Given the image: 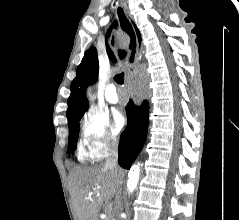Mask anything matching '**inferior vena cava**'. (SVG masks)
Returning <instances> with one entry per match:
<instances>
[{
    "instance_id": "obj_1",
    "label": "inferior vena cava",
    "mask_w": 239,
    "mask_h": 220,
    "mask_svg": "<svg viewBox=\"0 0 239 220\" xmlns=\"http://www.w3.org/2000/svg\"><path fill=\"white\" fill-rule=\"evenodd\" d=\"M105 165L111 168H118V145L114 139L108 140L105 148Z\"/></svg>"
}]
</instances>
